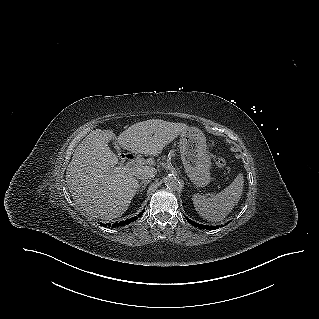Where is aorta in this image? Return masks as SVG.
<instances>
[{
	"label": "aorta",
	"instance_id": "762f6f07",
	"mask_svg": "<svg viewBox=\"0 0 319 319\" xmlns=\"http://www.w3.org/2000/svg\"><path fill=\"white\" fill-rule=\"evenodd\" d=\"M165 186L170 190H178L181 187L180 180L174 176L169 174L164 178Z\"/></svg>",
	"mask_w": 319,
	"mask_h": 319
}]
</instances>
